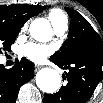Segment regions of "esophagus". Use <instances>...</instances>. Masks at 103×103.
Returning a JSON list of instances; mask_svg holds the SVG:
<instances>
[{
  "label": "esophagus",
  "instance_id": "1",
  "mask_svg": "<svg viewBox=\"0 0 103 103\" xmlns=\"http://www.w3.org/2000/svg\"><path fill=\"white\" fill-rule=\"evenodd\" d=\"M34 67H35V70H36V71L42 68V66H41V65H39V64H35V66H34Z\"/></svg>",
  "mask_w": 103,
  "mask_h": 103
}]
</instances>
